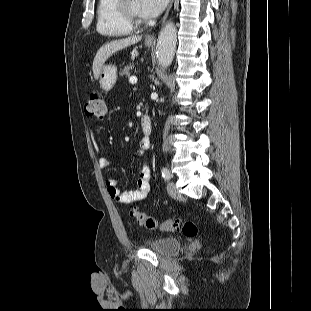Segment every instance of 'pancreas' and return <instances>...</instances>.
Wrapping results in <instances>:
<instances>
[{
  "mask_svg": "<svg viewBox=\"0 0 311 311\" xmlns=\"http://www.w3.org/2000/svg\"><path fill=\"white\" fill-rule=\"evenodd\" d=\"M134 69V64L130 63L129 65H126L120 72V75L122 76H129L131 71Z\"/></svg>",
  "mask_w": 311,
  "mask_h": 311,
  "instance_id": "1",
  "label": "pancreas"
}]
</instances>
